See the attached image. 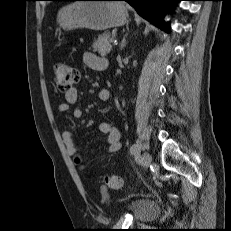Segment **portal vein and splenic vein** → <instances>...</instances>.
Instances as JSON below:
<instances>
[{"label":"portal vein and splenic vein","instance_id":"18ae733b","mask_svg":"<svg viewBox=\"0 0 231 231\" xmlns=\"http://www.w3.org/2000/svg\"><path fill=\"white\" fill-rule=\"evenodd\" d=\"M110 42H111V43H115L116 40H115L114 38H111V39H110Z\"/></svg>","mask_w":231,"mask_h":231}]
</instances>
